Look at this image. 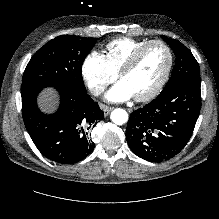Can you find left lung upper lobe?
Wrapping results in <instances>:
<instances>
[{
    "mask_svg": "<svg viewBox=\"0 0 219 219\" xmlns=\"http://www.w3.org/2000/svg\"><path fill=\"white\" fill-rule=\"evenodd\" d=\"M164 41L173 49L176 56L171 78L165 85L161 93L167 92L173 86L185 80L200 81L199 65L189 49L181 42L162 36Z\"/></svg>",
    "mask_w": 219,
    "mask_h": 219,
    "instance_id": "5c2ea615",
    "label": "left lung upper lobe"
}]
</instances>
